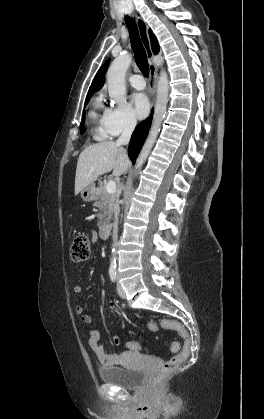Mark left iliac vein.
<instances>
[{
    "instance_id": "obj_1",
    "label": "left iliac vein",
    "mask_w": 264,
    "mask_h": 419,
    "mask_svg": "<svg viewBox=\"0 0 264 419\" xmlns=\"http://www.w3.org/2000/svg\"><path fill=\"white\" fill-rule=\"evenodd\" d=\"M117 292L121 298H125L124 289L119 282L117 283Z\"/></svg>"
}]
</instances>
